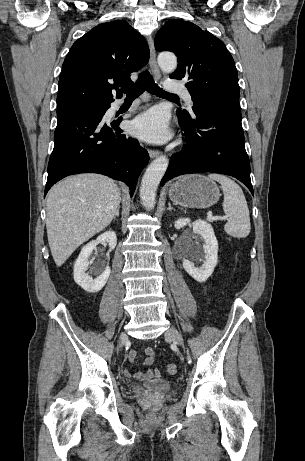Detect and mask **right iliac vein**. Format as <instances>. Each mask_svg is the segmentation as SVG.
<instances>
[{"label": "right iliac vein", "instance_id": "63e3f726", "mask_svg": "<svg viewBox=\"0 0 305 461\" xmlns=\"http://www.w3.org/2000/svg\"><path fill=\"white\" fill-rule=\"evenodd\" d=\"M128 340V336L125 332H122L119 336V345L120 347H123L125 342Z\"/></svg>", "mask_w": 305, "mask_h": 461}]
</instances>
